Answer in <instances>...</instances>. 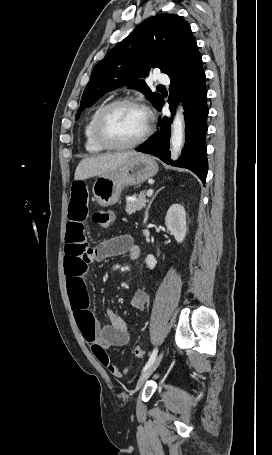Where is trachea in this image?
<instances>
[{
    "label": "trachea",
    "instance_id": "obj_1",
    "mask_svg": "<svg viewBox=\"0 0 272 455\" xmlns=\"http://www.w3.org/2000/svg\"><path fill=\"white\" fill-rule=\"evenodd\" d=\"M158 87H159V88H163L164 86H163V85H159Z\"/></svg>",
    "mask_w": 272,
    "mask_h": 455
}]
</instances>
